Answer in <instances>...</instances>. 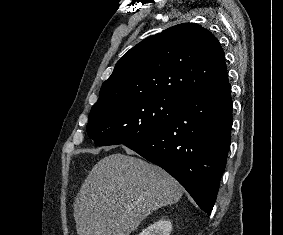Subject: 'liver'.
<instances>
[{
	"mask_svg": "<svg viewBox=\"0 0 283 235\" xmlns=\"http://www.w3.org/2000/svg\"><path fill=\"white\" fill-rule=\"evenodd\" d=\"M126 153L104 157L89 172L74 202L78 235H130L153 211L182 197L165 170Z\"/></svg>",
	"mask_w": 283,
	"mask_h": 235,
	"instance_id": "obj_1",
	"label": "liver"
}]
</instances>
